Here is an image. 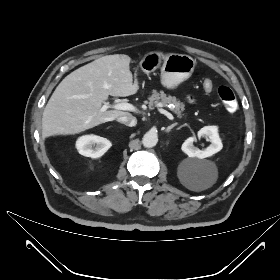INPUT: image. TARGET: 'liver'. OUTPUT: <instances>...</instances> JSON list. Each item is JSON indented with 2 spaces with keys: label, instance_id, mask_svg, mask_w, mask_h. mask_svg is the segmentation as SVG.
<instances>
[{
  "label": "liver",
  "instance_id": "obj_1",
  "mask_svg": "<svg viewBox=\"0 0 280 280\" xmlns=\"http://www.w3.org/2000/svg\"><path fill=\"white\" fill-rule=\"evenodd\" d=\"M130 60L125 54L107 55L67 75L44 109L43 138L76 134L121 116H132L119 110L101 111L109 95L126 97L139 90L136 73L133 82Z\"/></svg>",
  "mask_w": 280,
  "mask_h": 280
}]
</instances>
